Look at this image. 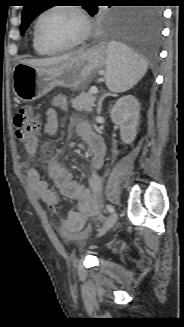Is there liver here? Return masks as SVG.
<instances>
[{"label":"liver","instance_id":"6515ba94","mask_svg":"<svg viewBox=\"0 0 184 327\" xmlns=\"http://www.w3.org/2000/svg\"><path fill=\"white\" fill-rule=\"evenodd\" d=\"M77 53H69V54H65L62 56H58V57H51V58H44V59H25L23 61H21L20 63L23 64H27V65H31V66H36V67H49L52 65H58L70 58H72L73 56H75Z\"/></svg>","mask_w":184,"mask_h":327}]
</instances>
